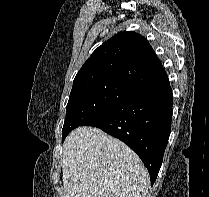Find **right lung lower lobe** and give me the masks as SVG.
<instances>
[{
    "mask_svg": "<svg viewBox=\"0 0 209 197\" xmlns=\"http://www.w3.org/2000/svg\"><path fill=\"white\" fill-rule=\"evenodd\" d=\"M173 94L168 77L127 97L81 126H94L134 150L157 178L168 143L173 114Z\"/></svg>",
    "mask_w": 209,
    "mask_h": 197,
    "instance_id": "98d812e1",
    "label": "right lung lower lobe"
}]
</instances>
